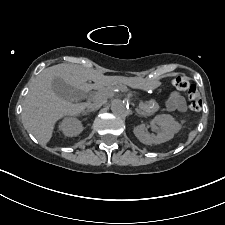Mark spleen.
Here are the masks:
<instances>
[{"instance_id": "3e777b00", "label": "spleen", "mask_w": 225, "mask_h": 225, "mask_svg": "<svg viewBox=\"0 0 225 225\" xmlns=\"http://www.w3.org/2000/svg\"><path fill=\"white\" fill-rule=\"evenodd\" d=\"M195 135H196V131H195V130L191 131V132L189 133V135H188V140H187V142H188V143L191 142V141L193 140V138L195 137Z\"/></svg>"}]
</instances>
